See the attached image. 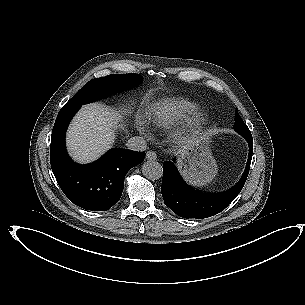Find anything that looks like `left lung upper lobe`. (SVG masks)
<instances>
[{
	"mask_svg": "<svg viewBox=\"0 0 305 305\" xmlns=\"http://www.w3.org/2000/svg\"><path fill=\"white\" fill-rule=\"evenodd\" d=\"M235 120H236V124L234 126L235 131H237L238 133H240L243 136L250 137V139L252 140L251 132L249 131L248 127L243 122V120L241 119V117L239 116L238 113L236 114ZM249 149H250L249 154H251V147H249ZM247 175H248V170L246 168L244 177ZM244 177H243V179H244ZM243 179L232 189H230L226 192L215 194V195L211 196L210 199L208 200L209 203L212 205H222V204L229 203L232 196L234 194H236L242 188V184L244 183Z\"/></svg>",
	"mask_w": 305,
	"mask_h": 305,
	"instance_id": "left-lung-upper-lobe-1",
	"label": "left lung upper lobe"
}]
</instances>
